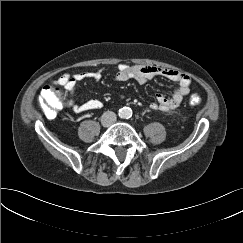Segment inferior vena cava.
<instances>
[{
  "label": "inferior vena cava",
  "mask_w": 243,
  "mask_h": 243,
  "mask_svg": "<svg viewBox=\"0 0 243 243\" xmlns=\"http://www.w3.org/2000/svg\"><path fill=\"white\" fill-rule=\"evenodd\" d=\"M116 114L112 111H106L101 117L102 125L108 127L116 121Z\"/></svg>",
  "instance_id": "obj_1"
}]
</instances>
